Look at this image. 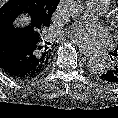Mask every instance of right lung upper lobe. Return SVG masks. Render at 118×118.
Returning <instances> with one entry per match:
<instances>
[{"mask_svg":"<svg viewBox=\"0 0 118 118\" xmlns=\"http://www.w3.org/2000/svg\"><path fill=\"white\" fill-rule=\"evenodd\" d=\"M56 1H60V0H56ZM7 26H12V25H0V28L7 27ZM48 26L49 25L34 30H28L30 32L31 37L37 44V48H38V52L36 55V64H35V68L38 73H41L47 67L50 58L49 43L44 41L41 37L42 31L44 30L45 27Z\"/></svg>","mask_w":118,"mask_h":118,"instance_id":"cb5924a9","label":"right lung upper lobe"}]
</instances>
